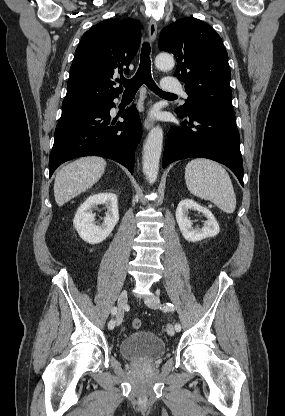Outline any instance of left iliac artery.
Segmentation results:
<instances>
[{
  "mask_svg": "<svg viewBox=\"0 0 285 416\" xmlns=\"http://www.w3.org/2000/svg\"><path fill=\"white\" fill-rule=\"evenodd\" d=\"M163 310L164 311H174L175 308H174V305L172 303L167 302V303L163 304ZM175 329L177 330V332L180 331L181 330L180 324L177 323L175 325Z\"/></svg>",
  "mask_w": 285,
  "mask_h": 416,
  "instance_id": "44dca946",
  "label": "left iliac artery"
}]
</instances>
